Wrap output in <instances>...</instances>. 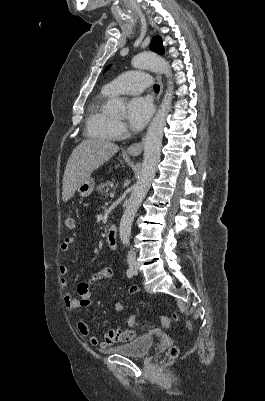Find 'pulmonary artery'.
<instances>
[{"mask_svg": "<svg viewBox=\"0 0 265 401\" xmlns=\"http://www.w3.org/2000/svg\"><path fill=\"white\" fill-rule=\"evenodd\" d=\"M151 78L144 72H126L124 75H118L117 81L111 82L105 86L106 90L115 95H141L142 90L150 88Z\"/></svg>", "mask_w": 265, "mask_h": 401, "instance_id": "1", "label": "pulmonary artery"}]
</instances>
